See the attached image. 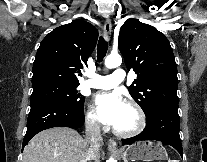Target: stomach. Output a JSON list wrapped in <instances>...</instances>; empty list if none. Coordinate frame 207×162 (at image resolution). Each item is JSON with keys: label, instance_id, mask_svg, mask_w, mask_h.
Listing matches in <instances>:
<instances>
[{"label": "stomach", "instance_id": "0dacf381", "mask_svg": "<svg viewBox=\"0 0 207 162\" xmlns=\"http://www.w3.org/2000/svg\"><path fill=\"white\" fill-rule=\"evenodd\" d=\"M119 156L125 161L141 160L152 162L154 160H167L166 149L161 143L151 141H141L128 146L120 151Z\"/></svg>", "mask_w": 207, "mask_h": 162}]
</instances>
